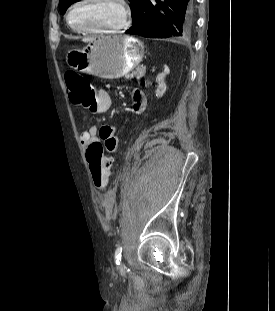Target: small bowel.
Listing matches in <instances>:
<instances>
[{
	"mask_svg": "<svg viewBox=\"0 0 275 311\" xmlns=\"http://www.w3.org/2000/svg\"><path fill=\"white\" fill-rule=\"evenodd\" d=\"M133 111L140 113L144 106V94L140 89L132 91ZM110 107L108 95L105 92H100L98 97L89 102L86 106L88 112L100 114L106 112ZM83 124L88 122V116L84 115L82 118ZM117 128L114 125H105L102 127L91 126L83 128L80 133V141L83 146H87L92 141H101L104 143L108 151H115L117 147L116 140Z\"/></svg>",
	"mask_w": 275,
	"mask_h": 311,
	"instance_id": "c3829d8e",
	"label": "small bowel"
}]
</instances>
